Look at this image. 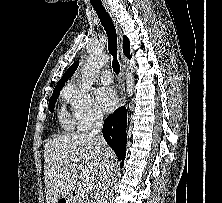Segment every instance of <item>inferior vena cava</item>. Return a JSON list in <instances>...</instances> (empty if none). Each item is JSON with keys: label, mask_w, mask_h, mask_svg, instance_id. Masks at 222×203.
Listing matches in <instances>:
<instances>
[{"label": "inferior vena cava", "mask_w": 222, "mask_h": 203, "mask_svg": "<svg viewBox=\"0 0 222 203\" xmlns=\"http://www.w3.org/2000/svg\"><path fill=\"white\" fill-rule=\"evenodd\" d=\"M94 128L88 134L89 138H96L99 141H104L101 136L103 126V115L101 113H95L93 116ZM113 164L107 161L104 170L99 175L95 189L93 203H107L108 188L113 177Z\"/></svg>", "instance_id": "602c4592"}]
</instances>
